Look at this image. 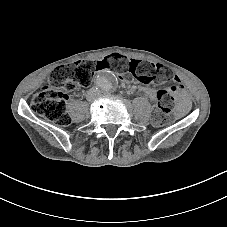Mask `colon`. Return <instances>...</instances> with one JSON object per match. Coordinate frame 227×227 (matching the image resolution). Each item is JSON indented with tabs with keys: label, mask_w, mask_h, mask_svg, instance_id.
<instances>
[{
	"label": "colon",
	"mask_w": 227,
	"mask_h": 227,
	"mask_svg": "<svg viewBox=\"0 0 227 227\" xmlns=\"http://www.w3.org/2000/svg\"><path fill=\"white\" fill-rule=\"evenodd\" d=\"M98 70H111L118 75L131 74L143 85L179 81L162 64L111 54L96 62L78 61L57 67L42 89L32 97L33 110L55 124L69 125L71 118L66 109L68 92L77 86H87ZM178 90L179 87L171 86L157 91V105L152 113V123L155 126L162 127L172 121V106Z\"/></svg>",
	"instance_id": "5ec220e1"
}]
</instances>
